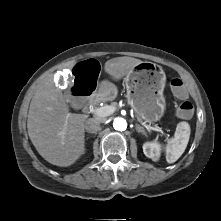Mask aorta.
<instances>
[{
  "mask_svg": "<svg viewBox=\"0 0 221 221\" xmlns=\"http://www.w3.org/2000/svg\"><path fill=\"white\" fill-rule=\"evenodd\" d=\"M113 127L115 130L124 131L127 128V122L124 118H115L113 122Z\"/></svg>",
  "mask_w": 221,
  "mask_h": 221,
  "instance_id": "aorta-1",
  "label": "aorta"
}]
</instances>
